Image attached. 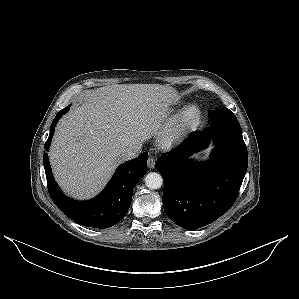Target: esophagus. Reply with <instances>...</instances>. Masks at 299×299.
I'll use <instances>...</instances> for the list:
<instances>
[{
    "label": "esophagus",
    "mask_w": 299,
    "mask_h": 299,
    "mask_svg": "<svg viewBox=\"0 0 299 299\" xmlns=\"http://www.w3.org/2000/svg\"><path fill=\"white\" fill-rule=\"evenodd\" d=\"M147 164H148V167L150 169H153L155 167V164H156L154 157H149L148 161H147Z\"/></svg>",
    "instance_id": "obj_1"
}]
</instances>
